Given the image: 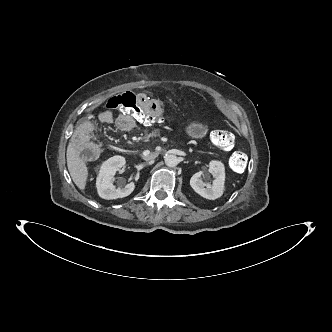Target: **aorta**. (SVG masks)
I'll use <instances>...</instances> for the list:
<instances>
[{"label":"aorta","instance_id":"1","mask_svg":"<svg viewBox=\"0 0 332 332\" xmlns=\"http://www.w3.org/2000/svg\"><path fill=\"white\" fill-rule=\"evenodd\" d=\"M165 163L168 167H175L179 163V160L176 155H167L165 157Z\"/></svg>","mask_w":332,"mask_h":332}]
</instances>
